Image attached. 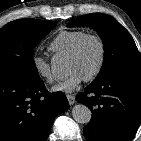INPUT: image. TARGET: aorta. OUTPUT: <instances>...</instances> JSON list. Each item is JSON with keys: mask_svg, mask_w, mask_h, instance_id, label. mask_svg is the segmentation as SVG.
<instances>
[{"mask_svg": "<svg viewBox=\"0 0 141 141\" xmlns=\"http://www.w3.org/2000/svg\"><path fill=\"white\" fill-rule=\"evenodd\" d=\"M51 67L54 73H57L61 70V65L58 64V62L56 61H53L51 63ZM91 115L92 113L90 109L83 104L75 105L72 108V117L78 123H81V124L89 123L91 120Z\"/></svg>", "mask_w": 141, "mask_h": 141, "instance_id": "762f6f07", "label": "aorta"}]
</instances>
